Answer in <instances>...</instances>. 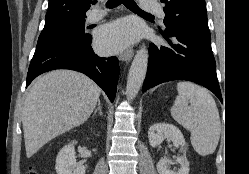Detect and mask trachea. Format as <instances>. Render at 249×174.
<instances>
[{"label": "trachea", "mask_w": 249, "mask_h": 174, "mask_svg": "<svg viewBox=\"0 0 249 174\" xmlns=\"http://www.w3.org/2000/svg\"><path fill=\"white\" fill-rule=\"evenodd\" d=\"M92 3L95 4L96 1H93ZM120 4H124L126 6V8H128L129 10H131V11H133L135 13L150 15V14L146 13L145 11L141 10L138 7V5L135 3L134 0H108L106 6L108 8H114V7H117Z\"/></svg>", "instance_id": "obj_1"}]
</instances>
